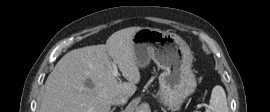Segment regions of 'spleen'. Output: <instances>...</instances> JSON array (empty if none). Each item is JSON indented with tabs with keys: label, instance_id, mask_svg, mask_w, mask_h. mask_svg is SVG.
Instances as JSON below:
<instances>
[{
	"label": "spleen",
	"instance_id": "1",
	"mask_svg": "<svg viewBox=\"0 0 270 112\" xmlns=\"http://www.w3.org/2000/svg\"><path fill=\"white\" fill-rule=\"evenodd\" d=\"M210 107L205 112H228L226 94L224 89L217 85L213 88Z\"/></svg>",
	"mask_w": 270,
	"mask_h": 112
}]
</instances>
